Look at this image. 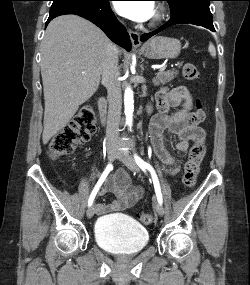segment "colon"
Instances as JSON below:
<instances>
[{
  "label": "colon",
  "instance_id": "5ec220e1",
  "mask_svg": "<svg viewBox=\"0 0 250 285\" xmlns=\"http://www.w3.org/2000/svg\"><path fill=\"white\" fill-rule=\"evenodd\" d=\"M183 76L188 81H197L200 72L194 64H186L183 67ZM197 110H201L199 107ZM95 114L90 105H84L75 114L73 119L59 130L49 143L48 153L53 159L66 156L74 149L87 142L95 132ZM206 146L204 142H194L190 148L188 159L184 166L182 182L185 187L192 188L196 184L200 164L205 156ZM140 221L145 225L154 222L150 213L139 215Z\"/></svg>",
  "mask_w": 250,
  "mask_h": 285
}]
</instances>
